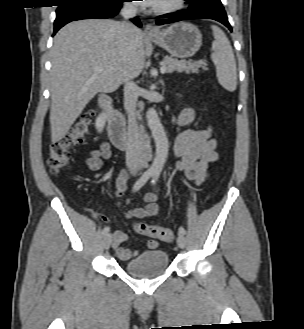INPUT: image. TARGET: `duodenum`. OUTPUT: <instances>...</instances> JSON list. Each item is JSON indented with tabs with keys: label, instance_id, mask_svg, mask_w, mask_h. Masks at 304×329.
Wrapping results in <instances>:
<instances>
[{
	"label": "duodenum",
	"instance_id": "1",
	"mask_svg": "<svg viewBox=\"0 0 304 329\" xmlns=\"http://www.w3.org/2000/svg\"><path fill=\"white\" fill-rule=\"evenodd\" d=\"M100 104L108 120L109 136L113 144L121 149L132 148L134 141L125 127L123 116L112 107L111 98L106 94L101 95Z\"/></svg>",
	"mask_w": 304,
	"mask_h": 329
}]
</instances>
